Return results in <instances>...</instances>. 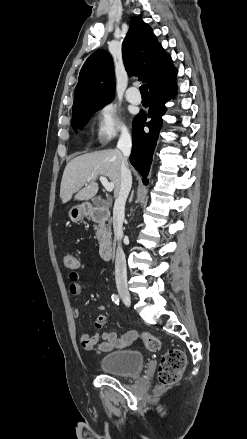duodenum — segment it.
Wrapping results in <instances>:
<instances>
[{"label": "duodenum", "instance_id": "410a0bca", "mask_svg": "<svg viewBox=\"0 0 247 439\" xmlns=\"http://www.w3.org/2000/svg\"><path fill=\"white\" fill-rule=\"evenodd\" d=\"M89 216L92 220L103 223L109 218V210L106 207L91 205L88 207ZM113 252V243L105 238L100 242L99 254L102 259L109 260Z\"/></svg>", "mask_w": 247, "mask_h": 439}]
</instances>
